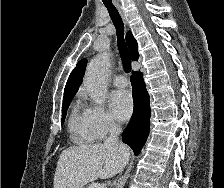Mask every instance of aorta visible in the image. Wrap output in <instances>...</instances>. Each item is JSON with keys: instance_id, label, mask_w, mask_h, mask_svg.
Masks as SVG:
<instances>
[{"instance_id": "762f6f07", "label": "aorta", "mask_w": 224, "mask_h": 188, "mask_svg": "<svg viewBox=\"0 0 224 188\" xmlns=\"http://www.w3.org/2000/svg\"><path fill=\"white\" fill-rule=\"evenodd\" d=\"M110 71V59L107 53L94 57L86 70L84 85L98 105H102L107 97V78Z\"/></svg>"}]
</instances>
